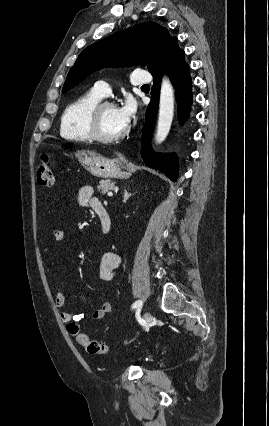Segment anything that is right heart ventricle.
Masks as SVG:
<instances>
[{
  "instance_id": "obj_1",
  "label": "right heart ventricle",
  "mask_w": 269,
  "mask_h": 426,
  "mask_svg": "<svg viewBox=\"0 0 269 426\" xmlns=\"http://www.w3.org/2000/svg\"><path fill=\"white\" fill-rule=\"evenodd\" d=\"M101 99L102 97L92 90L71 102L61 117L60 133L62 137L80 142L91 140L87 124L88 113Z\"/></svg>"
}]
</instances>
